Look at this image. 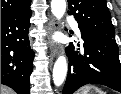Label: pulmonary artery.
<instances>
[{
    "instance_id": "1",
    "label": "pulmonary artery",
    "mask_w": 121,
    "mask_h": 94,
    "mask_svg": "<svg viewBox=\"0 0 121 94\" xmlns=\"http://www.w3.org/2000/svg\"><path fill=\"white\" fill-rule=\"evenodd\" d=\"M68 21H69L70 25L72 26V28L77 33V35L80 36L81 34H80V29L78 27V23L73 18H69Z\"/></svg>"
}]
</instances>
